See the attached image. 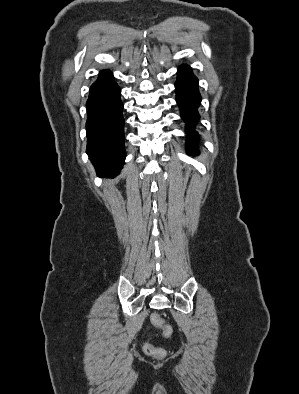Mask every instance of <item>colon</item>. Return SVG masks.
I'll return each instance as SVG.
<instances>
[{
  "label": "colon",
  "instance_id": "5ec220e1",
  "mask_svg": "<svg viewBox=\"0 0 299 394\" xmlns=\"http://www.w3.org/2000/svg\"><path fill=\"white\" fill-rule=\"evenodd\" d=\"M152 321L153 323L158 326L159 328H161L163 335L166 338H169L172 334V328L165 324L162 317L158 314V313H154L152 314ZM144 352L155 359H163L166 355V352L163 348L157 347L154 344L148 342L144 345L143 347Z\"/></svg>",
  "mask_w": 299,
  "mask_h": 394
}]
</instances>
